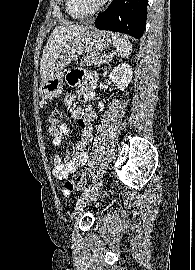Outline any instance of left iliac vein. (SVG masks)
I'll return each instance as SVG.
<instances>
[{
	"mask_svg": "<svg viewBox=\"0 0 195 270\" xmlns=\"http://www.w3.org/2000/svg\"><path fill=\"white\" fill-rule=\"evenodd\" d=\"M102 181L97 182L92 189L85 194L78 202L75 208V214L78 215L81 211L86 207V205L92 200L94 196H96L97 192L99 191L100 187L102 186Z\"/></svg>",
	"mask_w": 195,
	"mask_h": 270,
	"instance_id": "left-iliac-vein-1",
	"label": "left iliac vein"
}]
</instances>
